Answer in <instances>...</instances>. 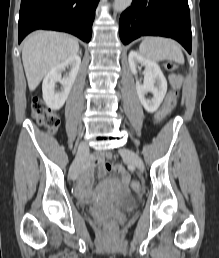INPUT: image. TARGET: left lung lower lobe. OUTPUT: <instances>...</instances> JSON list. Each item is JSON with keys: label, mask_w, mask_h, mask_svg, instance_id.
<instances>
[{"label": "left lung lower lobe", "mask_w": 219, "mask_h": 258, "mask_svg": "<svg viewBox=\"0 0 219 258\" xmlns=\"http://www.w3.org/2000/svg\"><path fill=\"white\" fill-rule=\"evenodd\" d=\"M123 44L146 35L170 37L191 53V23L188 0H133L120 16Z\"/></svg>", "instance_id": "1"}]
</instances>
